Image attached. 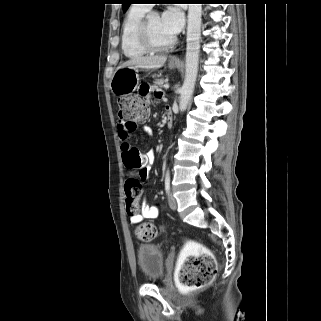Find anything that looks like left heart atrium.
<instances>
[{
	"label": "left heart atrium",
	"mask_w": 321,
	"mask_h": 321,
	"mask_svg": "<svg viewBox=\"0 0 321 321\" xmlns=\"http://www.w3.org/2000/svg\"><path fill=\"white\" fill-rule=\"evenodd\" d=\"M162 26L173 36L178 34L184 25V15L178 6L168 7L160 17Z\"/></svg>",
	"instance_id": "39dd6f15"
}]
</instances>
